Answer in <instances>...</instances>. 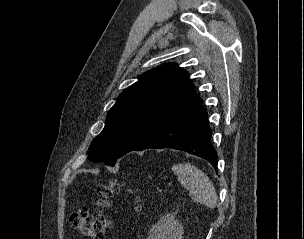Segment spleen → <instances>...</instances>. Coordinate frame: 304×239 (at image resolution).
<instances>
[{
	"label": "spleen",
	"mask_w": 304,
	"mask_h": 239,
	"mask_svg": "<svg viewBox=\"0 0 304 239\" xmlns=\"http://www.w3.org/2000/svg\"><path fill=\"white\" fill-rule=\"evenodd\" d=\"M172 170L179 182L187 188L194 202L213 209L217 205V193L208 176L191 164H175Z\"/></svg>",
	"instance_id": "1"
}]
</instances>
